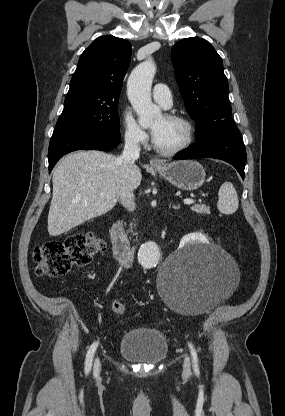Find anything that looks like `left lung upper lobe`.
<instances>
[{
  "label": "left lung upper lobe",
  "instance_id": "left-lung-upper-lobe-1",
  "mask_svg": "<svg viewBox=\"0 0 285 416\" xmlns=\"http://www.w3.org/2000/svg\"><path fill=\"white\" fill-rule=\"evenodd\" d=\"M171 58L186 109L197 122V140L236 128L223 62L214 47L201 38H186L172 47Z\"/></svg>",
  "mask_w": 285,
  "mask_h": 416
}]
</instances>
